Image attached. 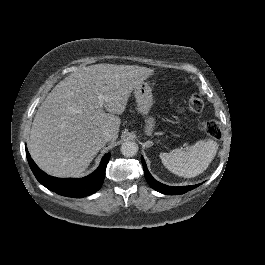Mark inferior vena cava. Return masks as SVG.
Returning <instances> with one entry per match:
<instances>
[{
    "label": "inferior vena cava",
    "instance_id": "602c4592",
    "mask_svg": "<svg viewBox=\"0 0 265 265\" xmlns=\"http://www.w3.org/2000/svg\"><path fill=\"white\" fill-rule=\"evenodd\" d=\"M103 135H104L105 141H110L113 138V132L109 130L104 131Z\"/></svg>",
    "mask_w": 265,
    "mask_h": 265
}]
</instances>
